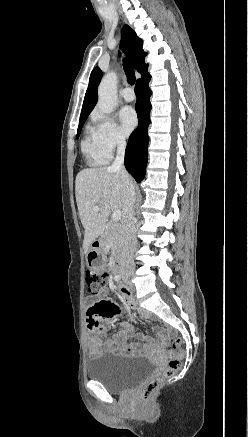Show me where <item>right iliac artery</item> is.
<instances>
[{
    "mask_svg": "<svg viewBox=\"0 0 248 437\" xmlns=\"http://www.w3.org/2000/svg\"><path fill=\"white\" fill-rule=\"evenodd\" d=\"M115 280H116V281H119V280H120V276H119V275H116V276H115Z\"/></svg>",
    "mask_w": 248,
    "mask_h": 437,
    "instance_id": "obj_1",
    "label": "right iliac artery"
}]
</instances>
